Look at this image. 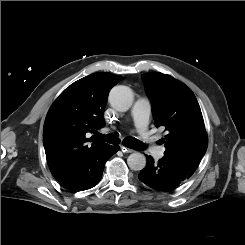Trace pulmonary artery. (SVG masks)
Returning a JSON list of instances; mask_svg holds the SVG:
<instances>
[{"instance_id": "pulmonary-artery-1", "label": "pulmonary artery", "mask_w": 245, "mask_h": 245, "mask_svg": "<svg viewBox=\"0 0 245 245\" xmlns=\"http://www.w3.org/2000/svg\"><path fill=\"white\" fill-rule=\"evenodd\" d=\"M151 114V106L146 98L138 99L132 109L131 116L141 139L144 141L146 148L158 159L163 158L165 149L156 144L154 137L151 135L148 125Z\"/></svg>"}]
</instances>
